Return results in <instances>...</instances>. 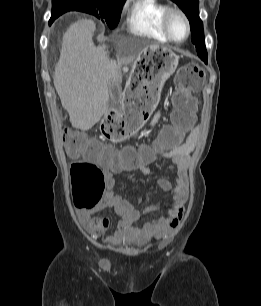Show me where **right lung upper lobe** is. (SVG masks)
Returning <instances> with one entry per match:
<instances>
[{
    "label": "right lung upper lobe",
    "instance_id": "obj_1",
    "mask_svg": "<svg viewBox=\"0 0 261 306\" xmlns=\"http://www.w3.org/2000/svg\"><path fill=\"white\" fill-rule=\"evenodd\" d=\"M70 1H75V0H52V2H70Z\"/></svg>",
    "mask_w": 261,
    "mask_h": 306
}]
</instances>
